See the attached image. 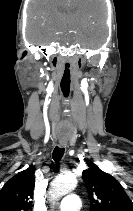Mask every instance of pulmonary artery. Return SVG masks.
Segmentation results:
<instances>
[{
	"mask_svg": "<svg viewBox=\"0 0 133 211\" xmlns=\"http://www.w3.org/2000/svg\"><path fill=\"white\" fill-rule=\"evenodd\" d=\"M80 207V198L76 194L65 196L58 205L60 211H79Z\"/></svg>",
	"mask_w": 133,
	"mask_h": 211,
	"instance_id": "e3ab8cb5",
	"label": "pulmonary artery"
}]
</instances>
